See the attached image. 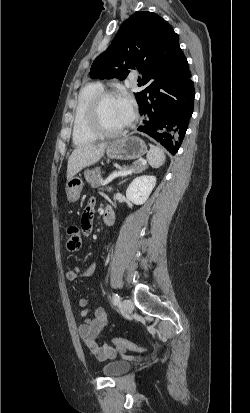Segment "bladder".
<instances>
[{"label": "bladder", "mask_w": 250, "mask_h": 413, "mask_svg": "<svg viewBox=\"0 0 250 413\" xmlns=\"http://www.w3.org/2000/svg\"><path fill=\"white\" fill-rule=\"evenodd\" d=\"M131 369V363L127 360L117 359L102 366V372L109 377H117L127 373Z\"/></svg>", "instance_id": "1"}]
</instances>
